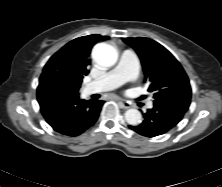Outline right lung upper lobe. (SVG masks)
Instances as JSON below:
<instances>
[{
    "label": "right lung upper lobe",
    "mask_w": 222,
    "mask_h": 187,
    "mask_svg": "<svg viewBox=\"0 0 222 187\" xmlns=\"http://www.w3.org/2000/svg\"><path fill=\"white\" fill-rule=\"evenodd\" d=\"M108 38V36L93 34L70 41L49 59L42 75H68L74 80L82 82L83 76L89 73L91 48L98 41Z\"/></svg>",
    "instance_id": "cb5924a9"
}]
</instances>
